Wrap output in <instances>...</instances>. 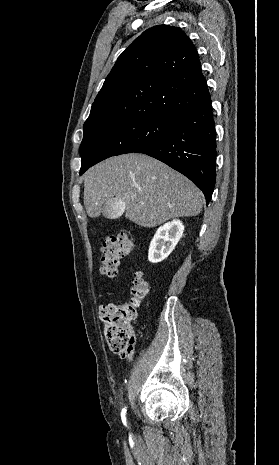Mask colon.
Segmentation results:
<instances>
[{"label":"colon","mask_w":279,"mask_h":465,"mask_svg":"<svg viewBox=\"0 0 279 465\" xmlns=\"http://www.w3.org/2000/svg\"><path fill=\"white\" fill-rule=\"evenodd\" d=\"M134 242L126 234L106 237L102 247L100 271L109 278L118 274L121 260L134 251ZM150 292V283L143 273L135 272L130 284L129 302L108 304L100 307L99 314L104 323V334L110 349L127 355L133 350L134 337L131 323L136 317V308Z\"/></svg>","instance_id":"1"}]
</instances>
